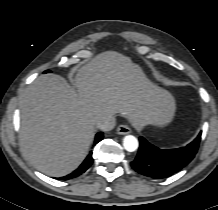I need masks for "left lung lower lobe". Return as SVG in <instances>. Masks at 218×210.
Returning <instances> with one entry per match:
<instances>
[{
    "label": "left lung lower lobe",
    "instance_id": "1",
    "mask_svg": "<svg viewBox=\"0 0 218 210\" xmlns=\"http://www.w3.org/2000/svg\"><path fill=\"white\" fill-rule=\"evenodd\" d=\"M200 140L201 133L185 147L165 150L140 137L138 154L131 166L139 174L155 179L166 178L181 170L194 158Z\"/></svg>",
    "mask_w": 218,
    "mask_h": 210
}]
</instances>
